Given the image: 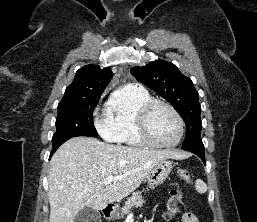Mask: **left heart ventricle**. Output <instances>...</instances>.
Instances as JSON below:
<instances>
[{
	"label": "left heart ventricle",
	"mask_w": 257,
	"mask_h": 222,
	"mask_svg": "<svg viewBox=\"0 0 257 222\" xmlns=\"http://www.w3.org/2000/svg\"><path fill=\"white\" fill-rule=\"evenodd\" d=\"M149 130L153 139L159 143H170L178 135V123L169 109L157 106L149 116Z\"/></svg>",
	"instance_id": "left-heart-ventricle-1"
}]
</instances>
